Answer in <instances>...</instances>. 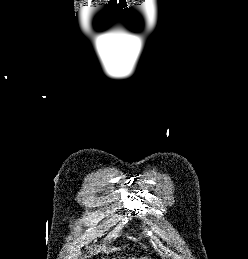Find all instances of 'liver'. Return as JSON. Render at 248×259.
<instances>
[{"mask_svg": "<svg viewBox=\"0 0 248 259\" xmlns=\"http://www.w3.org/2000/svg\"><path fill=\"white\" fill-rule=\"evenodd\" d=\"M119 259H123V258H119ZM132 259H137V258H132Z\"/></svg>", "mask_w": 248, "mask_h": 259, "instance_id": "6515ba94", "label": "liver"}]
</instances>
